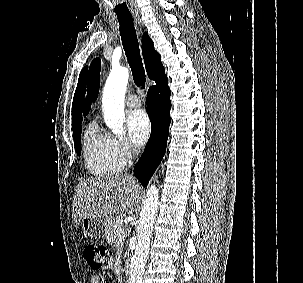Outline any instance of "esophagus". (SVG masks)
Masks as SVG:
<instances>
[{
	"mask_svg": "<svg viewBox=\"0 0 303 283\" xmlns=\"http://www.w3.org/2000/svg\"><path fill=\"white\" fill-rule=\"evenodd\" d=\"M135 22L137 25H142V21H141L140 17H135Z\"/></svg>",
	"mask_w": 303,
	"mask_h": 283,
	"instance_id": "esophagus-1",
	"label": "esophagus"
}]
</instances>
